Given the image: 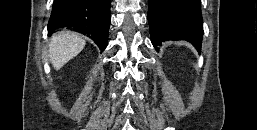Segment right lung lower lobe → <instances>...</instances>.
<instances>
[{"label": "right lung lower lobe", "mask_w": 257, "mask_h": 130, "mask_svg": "<svg viewBox=\"0 0 257 130\" xmlns=\"http://www.w3.org/2000/svg\"><path fill=\"white\" fill-rule=\"evenodd\" d=\"M110 0H54L48 32L74 28L90 37L104 51L110 27Z\"/></svg>", "instance_id": "1"}]
</instances>
